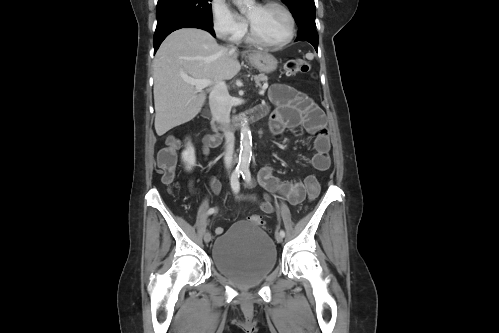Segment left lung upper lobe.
<instances>
[{"instance_id": "5c2ea615", "label": "left lung upper lobe", "mask_w": 499, "mask_h": 333, "mask_svg": "<svg viewBox=\"0 0 499 333\" xmlns=\"http://www.w3.org/2000/svg\"><path fill=\"white\" fill-rule=\"evenodd\" d=\"M291 10L298 27L315 24V3L314 0H282Z\"/></svg>"}]
</instances>
